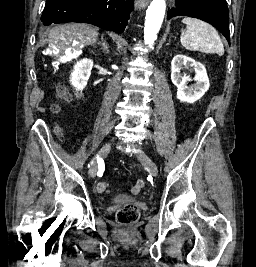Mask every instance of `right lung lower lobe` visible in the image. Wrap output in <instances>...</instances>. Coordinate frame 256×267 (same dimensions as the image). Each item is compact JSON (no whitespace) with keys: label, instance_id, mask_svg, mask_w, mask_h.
Returning a JSON list of instances; mask_svg holds the SVG:
<instances>
[{"label":"right lung lower lobe","instance_id":"1","mask_svg":"<svg viewBox=\"0 0 256 267\" xmlns=\"http://www.w3.org/2000/svg\"><path fill=\"white\" fill-rule=\"evenodd\" d=\"M132 1L122 0H47L41 22L90 23L102 29L122 33L128 23Z\"/></svg>","mask_w":256,"mask_h":267}]
</instances>
